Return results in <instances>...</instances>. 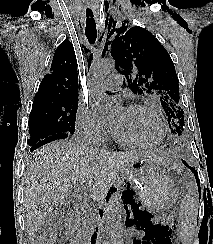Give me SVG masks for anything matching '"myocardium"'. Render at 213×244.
Returning <instances> with one entry per match:
<instances>
[{
  "mask_svg": "<svg viewBox=\"0 0 213 244\" xmlns=\"http://www.w3.org/2000/svg\"><path fill=\"white\" fill-rule=\"evenodd\" d=\"M126 109H128V110H146V111L150 112L155 117L158 124L160 125L161 137L158 141H156L154 143H142V142L131 141V140L124 138L117 131L115 126H113V135L118 142H120L123 145L129 146V147L142 148V149H152L163 143V141L166 137V127H165V124H164L160 114L153 106L148 105V104L136 103V104H131V105L127 106Z\"/></svg>",
  "mask_w": 213,
  "mask_h": 244,
  "instance_id": "myocardium-1",
  "label": "myocardium"
}]
</instances>
